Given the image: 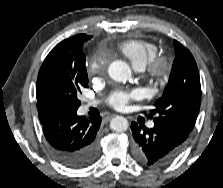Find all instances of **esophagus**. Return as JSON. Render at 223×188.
Here are the masks:
<instances>
[{
    "label": "esophagus",
    "instance_id": "34e87169",
    "mask_svg": "<svg viewBox=\"0 0 223 188\" xmlns=\"http://www.w3.org/2000/svg\"><path fill=\"white\" fill-rule=\"evenodd\" d=\"M112 117H113V115L107 116V117L105 118V121H109Z\"/></svg>",
    "mask_w": 223,
    "mask_h": 188
}]
</instances>
